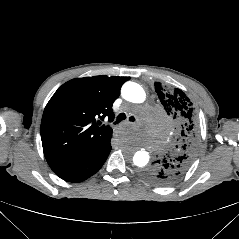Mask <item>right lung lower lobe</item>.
<instances>
[{
	"mask_svg": "<svg viewBox=\"0 0 239 239\" xmlns=\"http://www.w3.org/2000/svg\"><path fill=\"white\" fill-rule=\"evenodd\" d=\"M112 133L84 158L56 171V175L68 182H81L95 174L106 161L112 147Z\"/></svg>",
	"mask_w": 239,
	"mask_h": 239,
	"instance_id": "obj_1",
	"label": "right lung lower lobe"
}]
</instances>
